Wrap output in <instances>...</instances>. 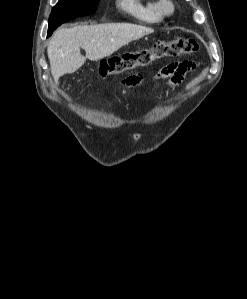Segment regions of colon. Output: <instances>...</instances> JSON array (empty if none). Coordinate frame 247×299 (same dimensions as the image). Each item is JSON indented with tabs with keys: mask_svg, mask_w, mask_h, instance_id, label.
I'll return each mask as SVG.
<instances>
[{
	"mask_svg": "<svg viewBox=\"0 0 247 299\" xmlns=\"http://www.w3.org/2000/svg\"><path fill=\"white\" fill-rule=\"evenodd\" d=\"M198 49L199 44L193 38L157 40L148 47L103 60L99 65V75L102 78L116 76L138 67L151 65L165 58L193 54Z\"/></svg>",
	"mask_w": 247,
	"mask_h": 299,
	"instance_id": "colon-1",
	"label": "colon"
}]
</instances>
